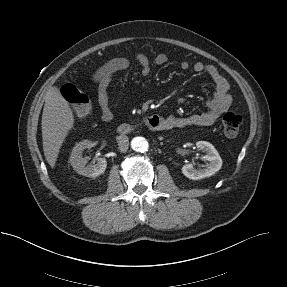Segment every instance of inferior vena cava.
Returning a JSON list of instances; mask_svg holds the SVG:
<instances>
[{"label":"inferior vena cava","instance_id":"inferior-vena-cava-1","mask_svg":"<svg viewBox=\"0 0 287 287\" xmlns=\"http://www.w3.org/2000/svg\"><path fill=\"white\" fill-rule=\"evenodd\" d=\"M117 143L121 152H126L129 147V138L126 135H120L117 137Z\"/></svg>","mask_w":287,"mask_h":287}]
</instances>
